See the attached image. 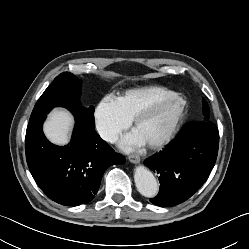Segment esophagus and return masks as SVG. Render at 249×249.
<instances>
[{"label": "esophagus", "instance_id": "34e87169", "mask_svg": "<svg viewBox=\"0 0 249 249\" xmlns=\"http://www.w3.org/2000/svg\"><path fill=\"white\" fill-rule=\"evenodd\" d=\"M128 160L133 164H137L140 162V157L136 154H132L128 157Z\"/></svg>", "mask_w": 249, "mask_h": 249}]
</instances>
